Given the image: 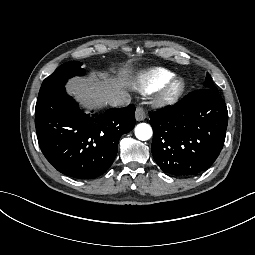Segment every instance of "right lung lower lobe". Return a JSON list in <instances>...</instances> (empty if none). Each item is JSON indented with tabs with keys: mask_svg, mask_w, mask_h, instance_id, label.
Segmentation results:
<instances>
[{
	"mask_svg": "<svg viewBox=\"0 0 255 255\" xmlns=\"http://www.w3.org/2000/svg\"><path fill=\"white\" fill-rule=\"evenodd\" d=\"M135 106L85 114L65 89L36 103L35 126L40 149L59 172L93 179L112 165L120 137L135 126Z\"/></svg>",
	"mask_w": 255,
	"mask_h": 255,
	"instance_id": "right-lung-lower-lobe-1",
	"label": "right lung lower lobe"
}]
</instances>
